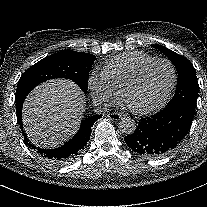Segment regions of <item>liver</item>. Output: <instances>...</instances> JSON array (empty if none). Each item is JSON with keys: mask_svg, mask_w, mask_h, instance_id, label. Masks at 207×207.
Returning a JSON list of instances; mask_svg holds the SVG:
<instances>
[{"mask_svg": "<svg viewBox=\"0 0 207 207\" xmlns=\"http://www.w3.org/2000/svg\"><path fill=\"white\" fill-rule=\"evenodd\" d=\"M84 96L67 80H51L36 87L23 107L29 138L41 147H55L75 134L84 109Z\"/></svg>", "mask_w": 207, "mask_h": 207, "instance_id": "6515ba94", "label": "liver"}]
</instances>
